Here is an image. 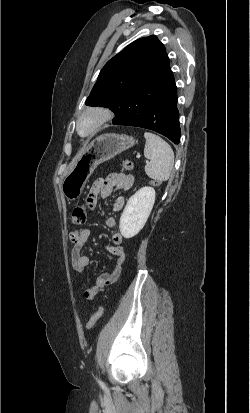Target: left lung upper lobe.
Returning <instances> with one entry per match:
<instances>
[{"instance_id": "obj_1", "label": "left lung upper lobe", "mask_w": 250, "mask_h": 413, "mask_svg": "<svg viewBox=\"0 0 250 413\" xmlns=\"http://www.w3.org/2000/svg\"><path fill=\"white\" fill-rule=\"evenodd\" d=\"M169 67L165 47L156 36L138 39L105 64L85 104L117 113L140 85L163 77Z\"/></svg>"}]
</instances>
